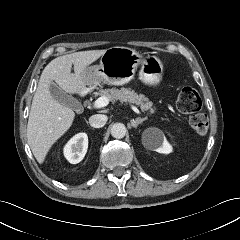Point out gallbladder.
Here are the masks:
<instances>
[{"mask_svg":"<svg viewBox=\"0 0 240 240\" xmlns=\"http://www.w3.org/2000/svg\"><path fill=\"white\" fill-rule=\"evenodd\" d=\"M51 96L60 104L70 107L74 110L81 108L80 102L73 96L62 90L57 84L52 82L49 86Z\"/></svg>","mask_w":240,"mask_h":240,"instance_id":"gallbladder-1","label":"gallbladder"}]
</instances>
